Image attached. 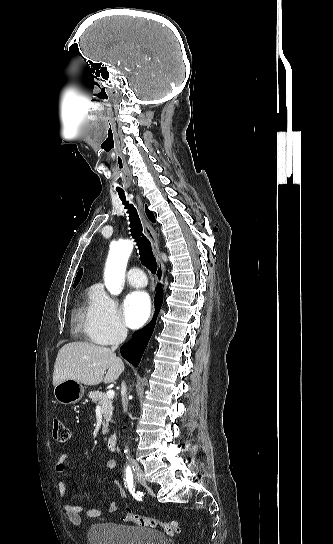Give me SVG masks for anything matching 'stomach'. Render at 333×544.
I'll use <instances>...</instances> for the list:
<instances>
[{"instance_id": "1", "label": "stomach", "mask_w": 333, "mask_h": 544, "mask_svg": "<svg viewBox=\"0 0 333 544\" xmlns=\"http://www.w3.org/2000/svg\"><path fill=\"white\" fill-rule=\"evenodd\" d=\"M84 395V386L73 379H67L54 387V397L63 405L77 403Z\"/></svg>"}]
</instances>
